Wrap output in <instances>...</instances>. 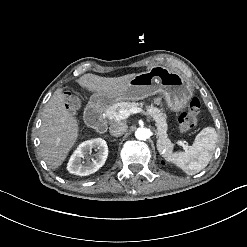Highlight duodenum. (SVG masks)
Listing matches in <instances>:
<instances>
[{
	"mask_svg": "<svg viewBox=\"0 0 247 247\" xmlns=\"http://www.w3.org/2000/svg\"><path fill=\"white\" fill-rule=\"evenodd\" d=\"M85 119L88 125L98 133L107 131V121L104 117L103 110L95 104H91L85 111Z\"/></svg>",
	"mask_w": 247,
	"mask_h": 247,
	"instance_id": "410a0bca",
	"label": "duodenum"
}]
</instances>
